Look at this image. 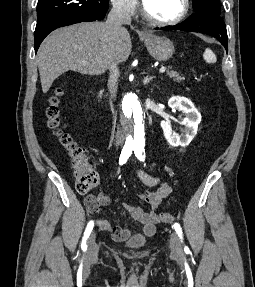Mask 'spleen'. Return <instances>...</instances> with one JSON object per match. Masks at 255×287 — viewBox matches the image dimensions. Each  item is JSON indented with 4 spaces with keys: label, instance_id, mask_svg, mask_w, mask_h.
<instances>
[{
    "label": "spleen",
    "instance_id": "obj_1",
    "mask_svg": "<svg viewBox=\"0 0 255 287\" xmlns=\"http://www.w3.org/2000/svg\"><path fill=\"white\" fill-rule=\"evenodd\" d=\"M204 60H206L208 64H213V62H216V56L211 50H206V52H204Z\"/></svg>",
    "mask_w": 255,
    "mask_h": 287
}]
</instances>
